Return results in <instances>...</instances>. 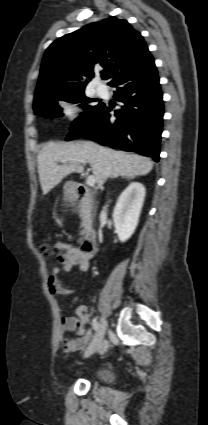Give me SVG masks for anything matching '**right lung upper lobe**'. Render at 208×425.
I'll return each instance as SVG.
<instances>
[{"label": "right lung upper lobe", "mask_w": 208, "mask_h": 425, "mask_svg": "<svg viewBox=\"0 0 208 425\" xmlns=\"http://www.w3.org/2000/svg\"><path fill=\"white\" fill-rule=\"evenodd\" d=\"M141 36L126 20L111 16L66 34L46 50L34 102L51 93L85 89L100 64L110 81L123 69L149 55Z\"/></svg>", "instance_id": "obj_1"}]
</instances>
